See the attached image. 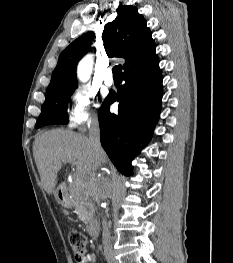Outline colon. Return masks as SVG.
<instances>
[{
	"label": "colon",
	"instance_id": "1",
	"mask_svg": "<svg viewBox=\"0 0 233 263\" xmlns=\"http://www.w3.org/2000/svg\"><path fill=\"white\" fill-rule=\"evenodd\" d=\"M69 243L71 245L74 258L81 260L87 252L88 240L86 236L77 230H71L68 233Z\"/></svg>",
	"mask_w": 233,
	"mask_h": 263
}]
</instances>
